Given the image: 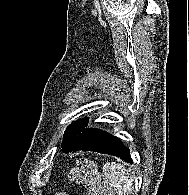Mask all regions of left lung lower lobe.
Returning <instances> with one entry per match:
<instances>
[{
  "label": "left lung lower lobe",
  "instance_id": "1",
  "mask_svg": "<svg viewBox=\"0 0 189 195\" xmlns=\"http://www.w3.org/2000/svg\"><path fill=\"white\" fill-rule=\"evenodd\" d=\"M87 123L81 127L67 144L61 146V152L93 151L114 155L120 157L125 162L132 163L130 151L123 145L120 139L98 129H84Z\"/></svg>",
  "mask_w": 189,
  "mask_h": 195
}]
</instances>
